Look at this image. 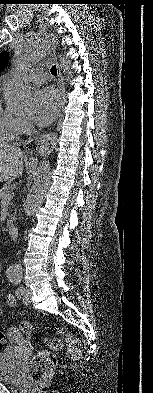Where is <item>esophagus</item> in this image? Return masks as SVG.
Returning a JSON list of instances; mask_svg holds the SVG:
<instances>
[{"label":"esophagus","instance_id":"1","mask_svg":"<svg viewBox=\"0 0 153 393\" xmlns=\"http://www.w3.org/2000/svg\"><path fill=\"white\" fill-rule=\"evenodd\" d=\"M55 64H56V68H57V72H58L57 81H58V86H59V90H60V94H61V107H62L65 103V87H64V81H63L60 66L57 61H55Z\"/></svg>","mask_w":153,"mask_h":393}]
</instances>
